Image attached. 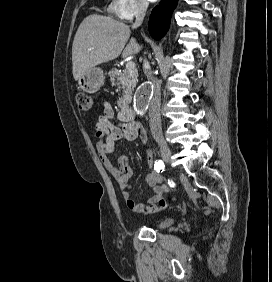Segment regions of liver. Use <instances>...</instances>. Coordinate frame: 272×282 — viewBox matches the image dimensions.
I'll list each match as a JSON object with an SVG mask.
<instances>
[{
	"instance_id": "obj_1",
	"label": "liver",
	"mask_w": 272,
	"mask_h": 282,
	"mask_svg": "<svg viewBox=\"0 0 272 282\" xmlns=\"http://www.w3.org/2000/svg\"><path fill=\"white\" fill-rule=\"evenodd\" d=\"M130 27L112 17L92 14L80 24L72 45L73 77L78 80L91 68L120 55L139 53L141 46L131 38ZM126 45V47H125Z\"/></svg>"
}]
</instances>
